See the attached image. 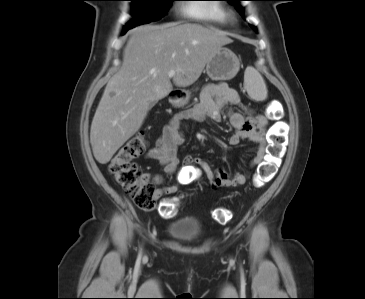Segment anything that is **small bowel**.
Wrapping results in <instances>:
<instances>
[{"mask_svg": "<svg viewBox=\"0 0 365 299\" xmlns=\"http://www.w3.org/2000/svg\"><path fill=\"white\" fill-rule=\"evenodd\" d=\"M242 105L238 92L223 84H207L200 96V103L194 108L173 116L164 126L156 146L147 153V158L158 161L167 174H173L180 164L178 147L184 142V121L201 122L205 119L219 120L223 109L229 105ZM243 112L229 111L228 119L234 128L229 137V144L236 146L242 141L257 144V150L251 160V166L259 165L266 155V129L268 119L262 114L254 113L250 108L242 105ZM203 176L213 188L237 187L243 185L249 178L244 172H236L233 176L224 170H213L204 160L186 156L183 167L178 176V184L158 188L156 197L175 194L179 185L187 184ZM146 180L160 183L159 175L144 174Z\"/></svg>", "mask_w": 365, "mask_h": 299, "instance_id": "obj_1", "label": "small bowel"}]
</instances>
